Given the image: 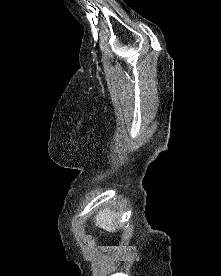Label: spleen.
Masks as SVG:
<instances>
[{
    "instance_id": "1",
    "label": "spleen",
    "mask_w": 221,
    "mask_h": 276,
    "mask_svg": "<svg viewBox=\"0 0 221 276\" xmlns=\"http://www.w3.org/2000/svg\"><path fill=\"white\" fill-rule=\"evenodd\" d=\"M119 215L109 208H105L95 216V225L108 232H115L118 225Z\"/></svg>"
}]
</instances>
